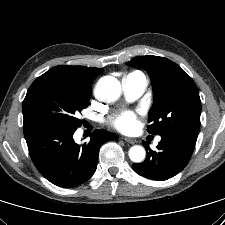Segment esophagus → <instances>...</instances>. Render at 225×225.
Wrapping results in <instances>:
<instances>
[{
  "mask_svg": "<svg viewBox=\"0 0 225 225\" xmlns=\"http://www.w3.org/2000/svg\"><path fill=\"white\" fill-rule=\"evenodd\" d=\"M123 139H124L127 143H130V144H135V143H137V140L134 139V138L124 137Z\"/></svg>",
  "mask_w": 225,
  "mask_h": 225,
  "instance_id": "obj_1",
  "label": "esophagus"
}]
</instances>
